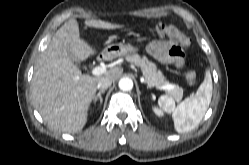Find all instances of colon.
Returning <instances> with one entry per match:
<instances>
[{"instance_id":"5ec220e1","label":"colon","mask_w":249,"mask_h":165,"mask_svg":"<svg viewBox=\"0 0 249 165\" xmlns=\"http://www.w3.org/2000/svg\"><path fill=\"white\" fill-rule=\"evenodd\" d=\"M154 33L159 36H168L179 41L183 46L190 47L191 46V39L187 37L178 27L174 25H165V24H158L155 29ZM186 80L188 84L194 85L197 81L196 73L193 70H190L186 73Z\"/></svg>"}]
</instances>
